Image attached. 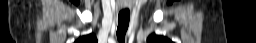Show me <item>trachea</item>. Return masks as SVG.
<instances>
[{"label": "trachea", "mask_w": 256, "mask_h": 43, "mask_svg": "<svg viewBox=\"0 0 256 43\" xmlns=\"http://www.w3.org/2000/svg\"><path fill=\"white\" fill-rule=\"evenodd\" d=\"M130 11L121 10L118 16L117 38L120 43L125 42V35L129 26Z\"/></svg>", "instance_id": "1"}]
</instances>
